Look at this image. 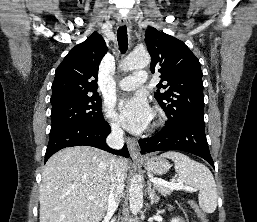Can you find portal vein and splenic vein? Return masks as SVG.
<instances>
[{"label": "portal vein and splenic vein", "instance_id": "portal-vein-and-splenic-vein-1", "mask_svg": "<svg viewBox=\"0 0 257 222\" xmlns=\"http://www.w3.org/2000/svg\"><path fill=\"white\" fill-rule=\"evenodd\" d=\"M150 180L154 184L163 185V186L168 187L172 190H174V189H183V190H189V191L193 190L190 187L184 186L182 183L167 182V181H164L162 179H157V178H151ZM88 199L92 200L93 196H90Z\"/></svg>", "mask_w": 257, "mask_h": 222}]
</instances>
